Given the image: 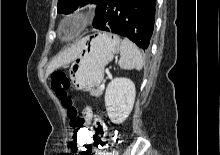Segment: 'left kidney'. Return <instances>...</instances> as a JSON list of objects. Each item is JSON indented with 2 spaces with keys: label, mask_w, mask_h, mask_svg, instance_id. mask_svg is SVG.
<instances>
[{
  "label": "left kidney",
  "mask_w": 220,
  "mask_h": 155,
  "mask_svg": "<svg viewBox=\"0 0 220 155\" xmlns=\"http://www.w3.org/2000/svg\"><path fill=\"white\" fill-rule=\"evenodd\" d=\"M135 84L128 78H114L105 92V106L114 124L123 123L130 115L135 101Z\"/></svg>",
  "instance_id": "obj_1"
}]
</instances>
